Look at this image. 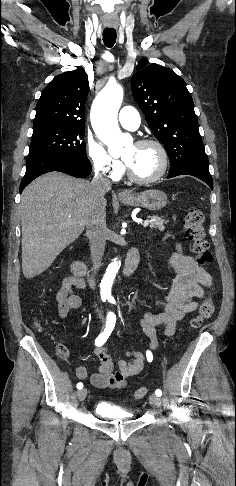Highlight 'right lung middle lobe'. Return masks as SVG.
I'll return each instance as SVG.
<instances>
[{
  "label": "right lung middle lobe",
  "instance_id": "obj_1",
  "mask_svg": "<svg viewBox=\"0 0 236 486\" xmlns=\"http://www.w3.org/2000/svg\"><path fill=\"white\" fill-rule=\"evenodd\" d=\"M83 137L84 127L57 125L33 127L28 157L54 155L87 158Z\"/></svg>",
  "mask_w": 236,
  "mask_h": 486
}]
</instances>
